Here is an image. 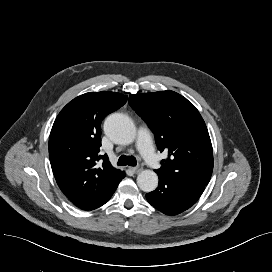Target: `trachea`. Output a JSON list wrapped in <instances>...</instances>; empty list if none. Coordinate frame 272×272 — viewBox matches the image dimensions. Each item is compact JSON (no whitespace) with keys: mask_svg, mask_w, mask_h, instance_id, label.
<instances>
[{"mask_svg":"<svg viewBox=\"0 0 272 272\" xmlns=\"http://www.w3.org/2000/svg\"><path fill=\"white\" fill-rule=\"evenodd\" d=\"M119 166H136L137 165V161L133 156H125L122 155L121 157H119L118 159V163Z\"/></svg>","mask_w":272,"mask_h":272,"instance_id":"trachea-1","label":"trachea"}]
</instances>
